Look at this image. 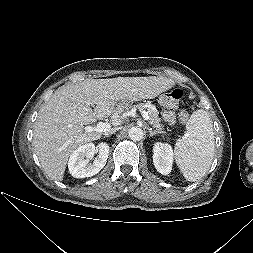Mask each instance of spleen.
Masks as SVG:
<instances>
[{"mask_svg":"<svg viewBox=\"0 0 253 253\" xmlns=\"http://www.w3.org/2000/svg\"><path fill=\"white\" fill-rule=\"evenodd\" d=\"M186 130L176 142L175 161L185 179L195 182L209 170L214 156V133L208 113L202 109L193 112Z\"/></svg>","mask_w":253,"mask_h":253,"instance_id":"spleen-1","label":"spleen"}]
</instances>
